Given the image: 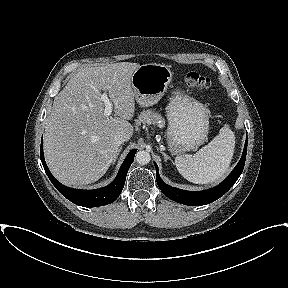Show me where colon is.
I'll return each mask as SVG.
<instances>
[{"label":"colon","instance_id":"1","mask_svg":"<svg viewBox=\"0 0 288 288\" xmlns=\"http://www.w3.org/2000/svg\"><path fill=\"white\" fill-rule=\"evenodd\" d=\"M182 83L188 89L197 90V91H214L215 86L211 83V81L195 72H191L186 74L183 79Z\"/></svg>","mask_w":288,"mask_h":288}]
</instances>
